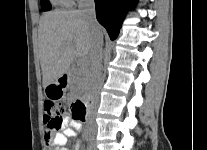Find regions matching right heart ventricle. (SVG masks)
I'll list each match as a JSON object with an SVG mask.
<instances>
[{"mask_svg": "<svg viewBox=\"0 0 207 150\" xmlns=\"http://www.w3.org/2000/svg\"><path fill=\"white\" fill-rule=\"evenodd\" d=\"M54 4L58 6H64V5H69L70 2L68 0H52Z\"/></svg>", "mask_w": 207, "mask_h": 150, "instance_id": "obj_1", "label": "right heart ventricle"}]
</instances>
